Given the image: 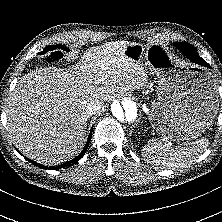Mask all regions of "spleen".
Segmentation results:
<instances>
[{"instance_id":"spleen-1","label":"spleen","mask_w":222,"mask_h":222,"mask_svg":"<svg viewBox=\"0 0 222 222\" xmlns=\"http://www.w3.org/2000/svg\"><path fill=\"white\" fill-rule=\"evenodd\" d=\"M209 140L206 137L177 146H169L160 139L150 140L142 149L147 163L163 168L183 167L191 164L206 150Z\"/></svg>"}]
</instances>
